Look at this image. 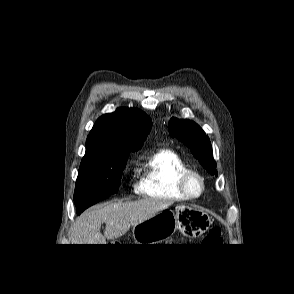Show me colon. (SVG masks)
Returning <instances> with one entry per match:
<instances>
[{
	"label": "colon",
	"instance_id": "colon-1",
	"mask_svg": "<svg viewBox=\"0 0 294 294\" xmlns=\"http://www.w3.org/2000/svg\"><path fill=\"white\" fill-rule=\"evenodd\" d=\"M222 242L221 231L218 228L210 229L203 237V244H219Z\"/></svg>",
	"mask_w": 294,
	"mask_h": 294
}]
</instances>
